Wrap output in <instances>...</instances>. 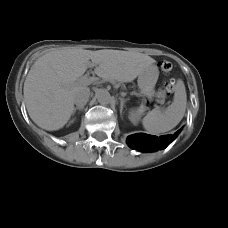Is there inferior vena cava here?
Listing matches in <instances>:
<instances>
[{
  "instance_id": "obj_1",
  "label": "inferior vena cava",
  "mask_w": 228,
  "mask_h": 228,
  "mask_svg": "<svg viewBox=\"0 0 228 228\" xmlns=\"http://www.w3.org/2000/svg\"><path fill=\"white\" fill-rule=\"evenodd\" d=\"M90 90L88 88L79 89L73 95V102L78 107H84L89 100Z\"/></svg>"
}]
</instances>
